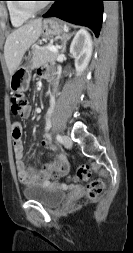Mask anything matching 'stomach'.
<instances>
[{
	"instance_id": "obj_1",
	"label": "stomach",
	"mask_w": 133,
	"mask_h": 253,
	"mask_svg": "<svg viewBox=\"0 0 133 253\" xmlns=\"http://www.w3.org/2000/svg\"><path fill=\"white\" fill-rule=\"evenodd\" d=\"M65 26L55 19H45L42 24V34L45 38L60 37L65 31ZM26 64L20 65L10 78V89L13 92H24L28 89L31 79V66L29 58Z\"/></svg>"
}]
</instances>
